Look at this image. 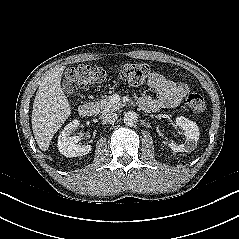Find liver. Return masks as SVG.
<instances>
[{"label":"liver","instance_id":"1","mask_svg":"<svg viewBox=\"0 0 239 239\" xmlns=\"http://www.w3.org/2000/svg\"><path fill=\"white\" fill-rule=\"evenodd\" d=\"M65 66L50 69L40 82L33 103L32 130L39 148L46 151L51 139L71 114L70 104L61 88Z\"/></svg>","mask_w":239,"mask_h":239}]
</instances>
